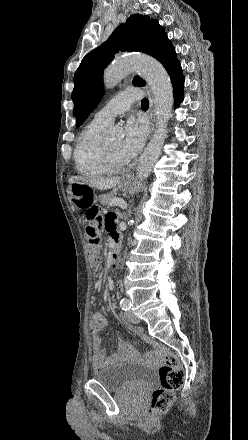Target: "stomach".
Here are the masks:
<instances>
[{"label": "stomach", "mask_w": 248, "mask_h": 440, "mask_svg": "<svg viewBox=\"0 0 248 440\" xmlns=\"http://www.w3.org/2000/svg\"><path fill=\"white\" fill-rule=\"evenodd\" d=\"M120 187L125 191L132 192L135 188V183L130 177H126L121 181ZM67 193L73 206L77 209L82 208L88 201L95 199L92 187L81 182H70Z\"/></svg>", "instance_id": "stomach-1"}]
</instances>
